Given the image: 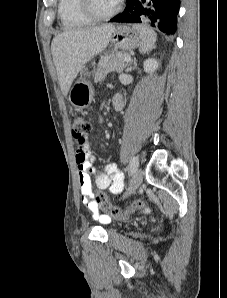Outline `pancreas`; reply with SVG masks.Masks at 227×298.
I'll return each instance as SVG.
<instances>
[{"instance_id":"obj_1","label":"pancreas","mask_w":227,"mask_h":298,"mask_svg":"<svg viewBox=\"0 0 227 298\" xmlns=\"http://www.w3.org/2000/svg\"><path fill=\"white\" fill-rule=\"evenodd\" d=\"M125 56H128V54L122 52L103 56L95 73V83L102 81L109 72L121 73L128 65V62L123 61Z\"/></svg>"}]
</instances>
